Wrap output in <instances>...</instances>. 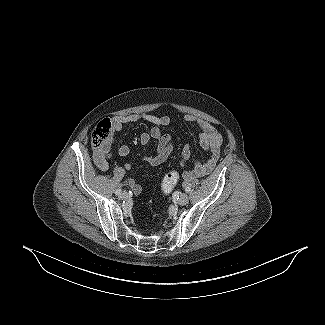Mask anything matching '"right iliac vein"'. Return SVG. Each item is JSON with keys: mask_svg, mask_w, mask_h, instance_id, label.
<instances>
[{"mask_svg": "<svg viewBox=\"0 0 325 325\" xmlns=\"http://www.w3.org/2000/svg\"><path fill=\"white\" fill-rule=\"evenodd\" d=\"M128 193L126 191H123L121 194H120V198L121 199H127L128 198Z\"/></svg>", "mask_w": 325, "mask_h": 325, "instance_id": "63e3f726", "label": "right iliac vein"}]
</instances>
